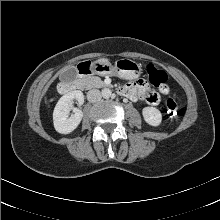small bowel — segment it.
<instances>
[{
	"mask_svg": "<svg viewBox=\"0 0 220 220\" xmlns=\"http://www.w3.org/2000/svg\"><path fill=\"white\" fill-rule=\"evenodd\" d=\"M121 91L129 99L145 100L152 105H156L160 102V94H167L169 88L166 84L161 85L158 88V92L152 91L149 85L144 80H136L126 84Z\"/></svg>",
	"mask_w": 220,
	"mask_h": 220,
	"instance_id": "small-bowel-1",
	"label": "small bowel"
}]
</instances>
